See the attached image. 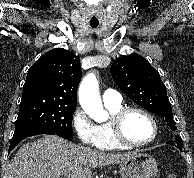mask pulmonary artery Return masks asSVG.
Instances as JSON below:
<instances>
[{
    "label": "pulmonary artery",
    "mask_w": 194,
    "mask_h": 178,
    "mask_svg": "<svg viewBox=\"0 0 194 178\" xmlns=\"http://www.w3.org/2000/svg\"><path fill=\"white\" fill-rule=\"evenodd\" d=\"M104 104H117L122 101L120 94L112 89H107L102 95Z\"/></svg>",
    "instance_id": "obj_1"
}]
</instances>
